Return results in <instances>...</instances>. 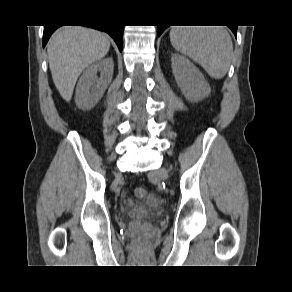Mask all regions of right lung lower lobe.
<instances>
[{
  "label": "right lung lower lobe",
  "instance_id": "obj_1",
  "mask_svg": "<svg viewBox=\"0 0 292 292\" xmlns=\"http://www.w3.org/2000/svg\"><path fill=\"white\" fill-rule=\"evenodd\" d=\"M58 26H44V33H43V46L46 45L48 39L50 38L51 34ZM95 29L107 32L116 42L120 51H122V40H123V26H116V25H91Z\"/></svg>",
  "mask_w": 292,
  "mask_h": 292
}]
</instances>
